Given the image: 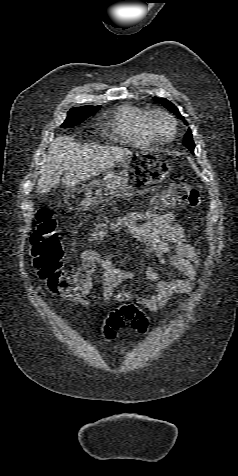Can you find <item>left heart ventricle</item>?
I'll use <instances>...</instances> for the list:
<instances>
[{
	"label": "left heart ventricle",
	"mask_w": 238,
	"mask_h": 476,
	"mask_svg": "<svg viewBox=\"0 0 238 476\" xmlns=\"http://www.w3.org/2000/svg\"><path fill=\"white\" fill-rule=\"evenodd\" d=\"M154 127L161 138H167L172 133V124L164 117H157L154 121Z\"/></svg>",
	"instance_id": "obj_1"
}]
</instances>
